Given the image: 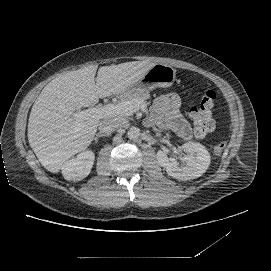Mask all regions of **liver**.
I'll list each match as a JSON object with an SVG mask.
<instances>
[{
  "label": "liver",
  "instance_id": "6515ba94",
  "mask_svg": "<svg viewBox=\"0 0 271 271\" xmlns=\"http://www.w3.org/2000/svg\"><path fill=\"white\" fill-rule=\"evenodd\" d=\"M154 65L144 60L102 66L96 79L97 66L90 65L50 81L35 100L28 121V141L41 165L57 173L66 161L84 151L93 141L100 119L81 120L75 111L94 106L99 98L123 94Z\"/></svg>",
  "mask_w": 271,
  "mask_h": 271
}]
</instances>
